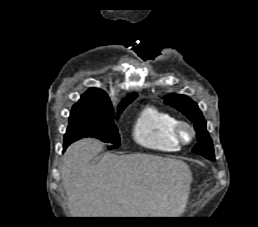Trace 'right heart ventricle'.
I'll return each instance as SVG.
<instances>
[{"label": "right heart ventricle", "instance_id": "1", "mask_svg": "<svg viewBox=\"0 0 258 227\" xmlns=\"http://www.w3.org/2000/svg\"><path fill=\"white\" fill-rule=\"evenodd\" d=\"M178 120L169 112L147 105L137 115L133 125V138L140 146L160 151L175 152L180 143L173 134Z\"/></svg>", "mask_w": 258, "mask_h": 227}]
</instances>
